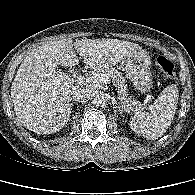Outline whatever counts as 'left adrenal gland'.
Returning a JSON list of instances; mask_svg holds the SVG:
<instances>
[{
  "mask_svg": "<svg viewBox=\"0 0 195 195\" xmlns=\"http://www.w3.org/2000/svg\"><path fill=\"white\" fill-rule=\"evenodd\" d=\"M113 105H114V108H115V109H118V111H119L120 113H122L123 110L121 109L120 106H118V103H117L116 100H113Z\"/></svg>",
  "mask_w": 195,
  "mask_h": 195,
  "instance_id": "left-adrenal-gland-1",
  "label": "left adrenal gland"
}]
</instances>
